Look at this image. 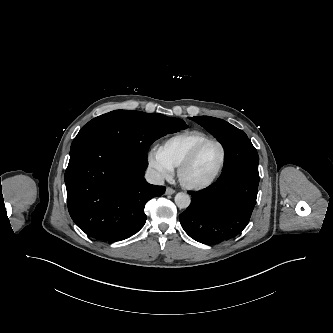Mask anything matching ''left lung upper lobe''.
<instances>
[{
	"label": "left lung upper lobe",
	"instance_id": "1",
	"mask_svg": "<svg viewBox=\"0 0 333 333\" xmlns=\"http://www.w3.org/2000/svg\"><path fill=\"white\" fill-rule=\"evenodd\" d=\"M192 120L203 126L215 136L224 149H226L233 141L247 136L243 131L222 119L207 116H195Z\"/></svg>",
	"mask_w": 333,
	"mask_h": 333
}]
</instances>
